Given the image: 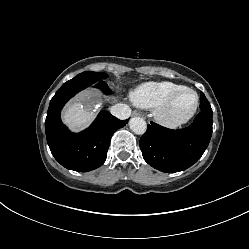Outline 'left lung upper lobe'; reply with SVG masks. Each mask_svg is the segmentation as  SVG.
Here are the masks:
<instances>
[{
  "label": "left lung upper lobe",
  "instance_id": "left-lung-upper-lobe-1",
  "mask_svg": "<svg viewBox=\"0 0 249 249\" xmlns=\"http://www.w3.org/2000/svg\"><path fill=\"white\" fill-rule=\"evenodd\" d=\"M208 105H209V107H207V109H211L210 103ZM200 109H201V107H200Z\"/></svg>",
  "mask_w": 249,
  "mask_h": 249
}]
</instances>
